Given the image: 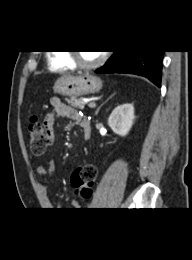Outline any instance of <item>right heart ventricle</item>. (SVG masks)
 Returning <instances> with one entry per match:
<instances>
[{
    "mask_svg": "<svg viewBox=\"0 0 192 260\" xmlns=\"http://www.w3.org/2000/svg\"><path fill=\"white\" fill-rule=\"evenodd\" d=\"M48 66L52 71L63 72L74 70L75 65L70 60L66 51H57L49 55Z\"/></svg>",
    "mask_w": 192,
    "mask_h": 260,
    "instance_id": "obj_1",
    "label": "right heart ventricle"
}]
</instances>
